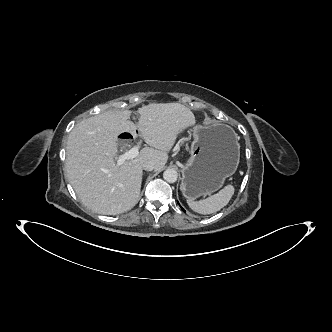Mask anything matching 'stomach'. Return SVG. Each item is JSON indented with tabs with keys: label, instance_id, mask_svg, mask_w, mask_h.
I'll use <instances>...</instances> for the list:
<instances>
[{
	"label": "stomach",
	"instance_id": "0dacf381",
	"mask_svg": "<svg viewBox=\"0 0 332 332\" xmlns=\"http://www.w3.org/2000/svg\"><path fill=\"white\" fill-rule=\"evenodd\" d=\"M190 157L183 168L180 189L187 200L218 191L237 170L240 145L234 130L225 124L193 130Z\"/></svg>",
	"mask_w": 332,
	"mask_h": 332
}]
</instances>
